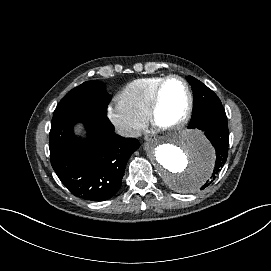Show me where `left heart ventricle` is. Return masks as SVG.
Here are the masks:
<instances>
[{"label": "left heart ventricle", "mask_w": 271, "mask_h": 271, "mask_svg": "<svg viewBox=\"0 0 271 271\" xmlns=\"http://www.w3.org/2000/svg\"><path fill=\"white\" fill-rule=\"evenodd\" d=\"M188 94L185 85L179 80L169 81L163 89L159 121L169 124L178 119L186 110Z\"/></svg>", "instance_id": "1"}]
</instances>
